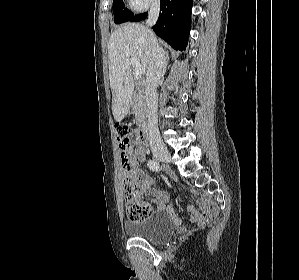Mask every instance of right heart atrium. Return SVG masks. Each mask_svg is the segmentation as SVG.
<instances>
[{
	"label": "right heart atrium",
	"mask_w": 299,
	"mask_h": 280,
	"mask_svg": "<svg viewBox=\"0 0 299 280\" xmlns=\"http://www.w3.org/2000/svg\"><path fill=\"white\" fill-rule=\"evenodd\" d=\"M132 9L136 11H144L151 5H154L158 0H128Z\"/></svg>",
	"instance_id": "right-heart-atrium-1"
}]
</instances>
